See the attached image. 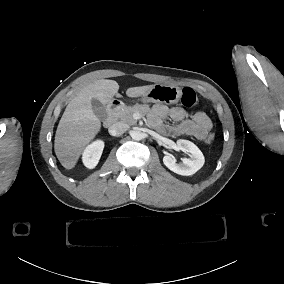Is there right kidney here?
I'll list each match as a JSON object with an SVG mask.
<instances>
[{"label": "right kidney", "instance_id": "right-kidney-1", "mask_svg": "<svg viewBox=\"0 0 284 284\" xmlns=\"http://www.w3.org/2000/svg\"><path fill=\"white\" fill-rule=\"evenodd\" d=\"M104 148V142L102 140H96L86 147L82 155L83 164L93 169L98 164Z\"/></svg>", "mask_w": 284, "mask_h": 284}]
</instances>
